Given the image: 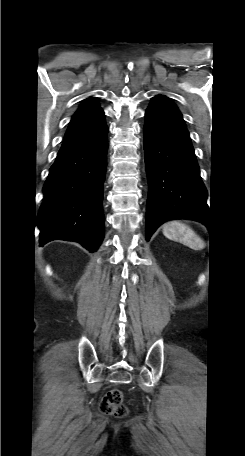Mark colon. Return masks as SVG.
Wrapping results in <instances>:
<instances>
[{"mask_svg": "<svg viewBox=\"0 0 245 456\" xmlns=\"http://www.w3.org/2000/svg\"><path fill=\"white\" fill-rule=\"evenodd\" d=\"M100 411L106 415L123 417L127 414V408L123 403V393L119 389L109 390L100 402Z\"/></svg>", "mask_w": 245, "mask_h": 456, "instance_id": "5ec220e1", "label": "colon"}]
</instances>
